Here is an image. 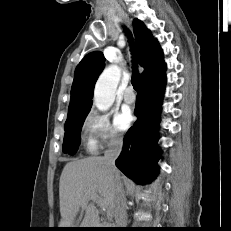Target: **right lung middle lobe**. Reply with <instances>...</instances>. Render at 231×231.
Segmentation results:
<instances>
[{
    "instance_id": "1",
    "label": "right lung middle lobe",
    "mask_w": 231,
    "mask_h": 231,
    "mask_svg": "<svg viewBox=\"0 0 231 231\" xmlns=\"http://www.w3.org/2000/svg\"><path fill=\"white\" fill-rule=\"evenodd\" d=\"M88 112L89 110L74 115H68L64 126L63 152L74 154L78 149L81 128Z\"/></svg>"
}]
</instances>
